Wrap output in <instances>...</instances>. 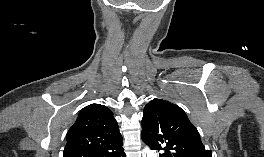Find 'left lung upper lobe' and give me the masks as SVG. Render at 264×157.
Segmentation results:
<instances>
[{
  "label": "left lung upper lobe",
  "instance_id": "obj_1",
  "mask_svg": "<svg viewBox=\"0 0 264 157\" xmlns=\"http://www.w3.org/2000/svg\"><path fill=\"white\" fill-rule=\"evenodd\" d=\"M141 137L151 149L164 151L159 157H212L186 113L166 100L146 104Z\"/></svg>",
  "mask_w": 264,
  "mask_h": 157
}]
</instances>
